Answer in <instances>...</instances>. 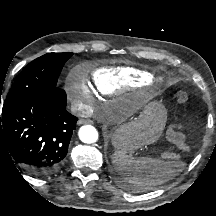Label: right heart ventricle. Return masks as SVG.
<instances>
[{
  "mask_svg": "<svg viewBox=\"0 0 216 216\" xmlns=\"http://www.w3.org/2000/svg\"><path fill=\"white\" fill-rule=\"evenodd\" d=\"M91 78L96 90L102 95L137 89L146 81V76L142 72L123 66L96 69L92 72Z\"/></svg>",
  "mask_w": 216,
  "mask_h": 216,
  "instance_id": "e07e8e85",
  "label": "right heart ventricle"
}]
</instances>
